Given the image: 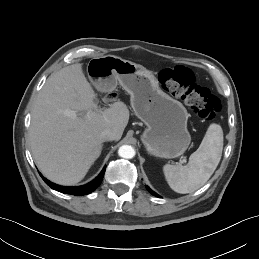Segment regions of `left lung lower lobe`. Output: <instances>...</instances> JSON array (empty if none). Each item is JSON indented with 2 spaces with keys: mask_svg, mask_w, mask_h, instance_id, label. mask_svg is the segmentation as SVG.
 I'll use <instances>...</instances> for the list:
<instances>
[{
  "mask_svg": "<svg viewBox=\"0 0 259 259\" xmlns=\"http://www.w3.org/2000/svg\"><path fill=\"white\" fill-rule=\"evenodd\" d=\"M146 188L149 190V192H150L151 194H153L154 196H157V197H158V195H157L155 192H153L148 186H146Z\"/></svg>",
  "mask_w": 259,
  "mask_h": 259,
  "instance_id": "1",
  "label": "left lung lower lobe"
}]
</instances>
